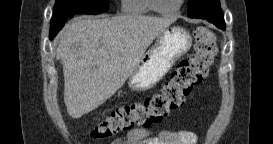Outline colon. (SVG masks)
I'll list each match as a JSON object with an SVG mask.
<instances>
[{"label": "colon", "mask_w": 273, "mask_h": 144, "mask_svg": "<svg viewBox=\"0 0 273 144\" xmlns=\"http://www.w3.org/2000/svg\"><path fill=\"white\" fill-rule=\"evenodd\" d=\"M194 37V53L179 62L159 92L143 101L117 107L92 127V136L103 139L133 129H147L180 107L192 88L207 76L217 53L212 31L199 27Z\"/></svg>", "instance_id": "5ec220e1"}]
</instances>
